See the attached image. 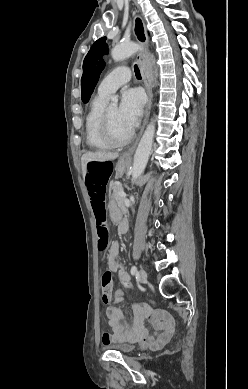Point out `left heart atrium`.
<instances>
[{"label":"left heart atrium","instance_id":"left-heart-atrium-1","mask_svg":"<svg viewBox=\"0 0 248 389\" xmlns=\"http://www.w3.org/2000/svg\"><path fill=\"white\" fill-rule=\"evenodd\" d=\"M144 98L137 89H126L121 96L119 116L128 129L132 130L142 115Z\"/></svg>","mask_w":248,"mask_h":389}]
</instances>
